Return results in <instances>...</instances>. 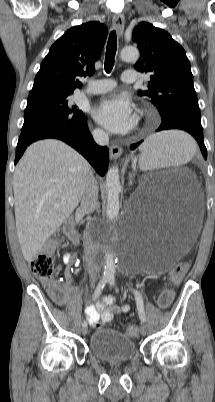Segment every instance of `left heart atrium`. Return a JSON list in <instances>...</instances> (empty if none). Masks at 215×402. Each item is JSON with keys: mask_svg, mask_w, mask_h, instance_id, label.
Wrapping results in <instances>:
<instances>
[{"mask_svg": "<svg viewBox=\"0 0 215 402\" xmlns=\"http://www.w3.org/2000/svg\"><path fill=\"white\" fill-rule=\"evenodd\" d=\"M95 120L109 131L124 134L132 130L137 116L132 102L123 95L104 98L93 112Z\"/></svg>", "mask_w": 215, "mask_h": 402, "instance_id": "obj_1", "label": "left heart atrium"}]
</instances>
